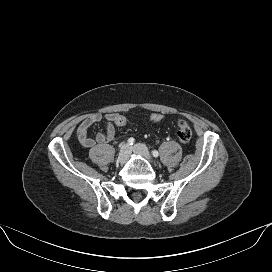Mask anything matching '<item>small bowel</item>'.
Masks as SVG:
<instances>
[{
	"mask_svg": "<svg viewBox=\"0 0 272 272\" xmlns=\"http://www.w3.org/2000/svg\"><path fill=\"white\" fill-rule=\"evenodd\" d=\"M118 113L112 112L103 115L102 113H92L86 116L79 124L76 130V136L80 144L85 148H91L97 144H103L105 142L113 140L117 133V126L115 125V119ZM105 120L106 129L104 132L98 133L95 137L88 135L89 128L102 120Z\"/></svg>",
	"mask_w": 272,
	"mask_h": 272,
	"instance_id": "1",
	"label": "small bowel"
}]
</instances>
